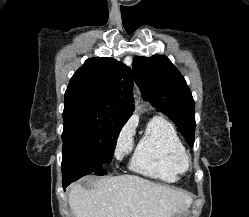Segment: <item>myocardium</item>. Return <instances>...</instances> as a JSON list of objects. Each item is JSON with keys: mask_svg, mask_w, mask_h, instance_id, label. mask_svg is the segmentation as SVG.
<instances>
[{"mask_svg": "<svg viewBox=\"0 0 249 217\" xmlns=\"http://www.w3.org/2000/svg\"><path fill=\"white\" fill-rule=\"evenodd\" d=\"M178 165L183 172L188 171L191 167L190 157L186 153L180 156V158L178 159Z\"/></svg>", "mask_w": 249, "mask_h": 217, "instance_id": "obj_1", "label": "myocardium"}]
</instances>
